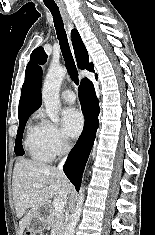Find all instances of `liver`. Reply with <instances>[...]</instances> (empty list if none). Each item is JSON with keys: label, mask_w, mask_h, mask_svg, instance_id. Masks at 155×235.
<instances>
[{"label": "liver", "mask_w": 155, "mask_h": 235, "mask_svg": "<svg viewBox=\"0 0 155 235\" xmlns=\"http://www.w3.org/2000/svg\"><path fill=\"white\" fill-rule=\"evenodd\" d=\"M33 183L43 188H34ZM13 200L19 221V235H23L31 218L52 197L66 200L72 184L64 173L51 166L25 158L17 160L13 170Z\"/></svg>", "instance_id": "liver-1"}]
</instances>
